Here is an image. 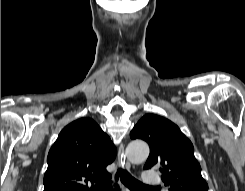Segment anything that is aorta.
Instances as JSON below:
<instances>
[{
    "label": "aorta",
    "mask_w": 245,
    "mask_h": 191,
    "mask_svg": "<svg viewBox=\"0 0 245 191\" xmlns=\"http://www.w3.org/2000/svg\"><path fill=\"white\" fill-rule=\"evenodd\" d=\"M149 155V146L146 142L135 140L128 144L126 156L132 163L144 162Z\"/></svg>",
    "instance_id": "aorta-1"
}]
</instances>
